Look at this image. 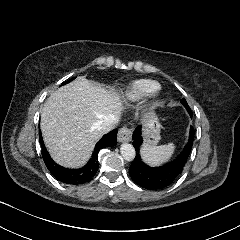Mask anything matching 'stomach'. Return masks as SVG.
Here are the masks:
<instances>
[{
	"label": "stomach",
	"mask_w": 240,
	"mask_h": 240,
	"mask_svg": "<svg viewBox=\"0 0 240 240\" xmlns=\"http://www.w3.org/2000/svg\"><path fill=\"white\" fill-rule=\"evenodd\" d=\"M140 124L143 145L156 146L161 140V129L154 104L142 113Z\"/></svg>",
	"instance_id": "0dacf381"
}]
</instances>
